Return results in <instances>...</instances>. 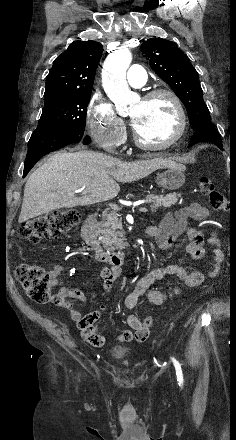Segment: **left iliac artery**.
<instances>
[{"label": "left iliac artery", "instance_id": "1", "mask_svg": "<svg viewBox=\"0 0 236 440\" xmlns=\"http://www.w3.org/2000/svg\"><path fill=\"white\" fill-rule=\"evenodd\" d=\"M172 361H173V364L176 369L177 381L179 382V385L182 386L183 385V373H182L181 366L176 359L172 358Z\"/></svg>", "mask_w": 236, "mask_h": 440}]
</instances>
